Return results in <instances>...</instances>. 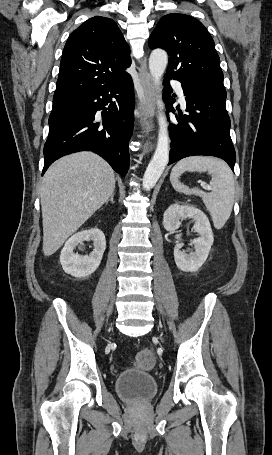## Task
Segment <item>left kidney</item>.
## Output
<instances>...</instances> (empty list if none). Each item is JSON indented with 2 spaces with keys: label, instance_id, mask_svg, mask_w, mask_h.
<instances>
[{
  "label": "left kidney",
  "instance_id": "1",
  "mask_svg": "<svg viewBox=\"0 0 272 455\" xmlns=\"http://www.w3.org/2000/svg\"><path fill=\"white\" fill-rule=\"evenodd\" d=\"M192 218L195 221L193 229L199 234L192 241L195 251L186 254L181 251L182 243H177L174 248V258L177 267L184 272H196L206 261L214 241L212 229L207 216L198 208L190 205H171L164 213L163 226L174 233L181 225V221ZM181 234L176 235L180 239Z\"/></svg>",
  "mask_w": 272,
  "mask_h": 455
}]
</instances>
